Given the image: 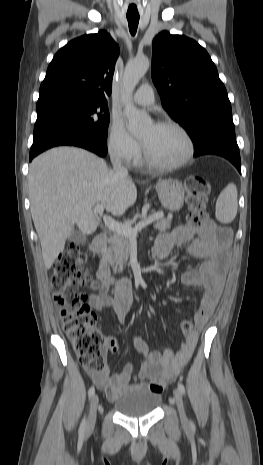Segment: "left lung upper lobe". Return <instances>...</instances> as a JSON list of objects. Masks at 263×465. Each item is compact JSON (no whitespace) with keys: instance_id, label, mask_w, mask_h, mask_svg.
<instances>
[{"instance_id":"obj_1","label":"left lung upper lobe","mask_w":263,"mask_h":465,"mask_svg":"<svg viewBox=\"0 0 263 465\" xmlns=\"http://www.w3.org/2000/svg\"><path fill=\"white\" fill-rule=\"evenodd\" d=\"M152 80L162 106L195 145L216 129H234L231 104L207 51L167 31L153 40Z\"/></svg>"}]
</instances>
